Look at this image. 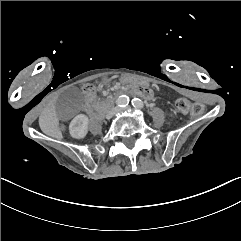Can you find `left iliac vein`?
<instances>
[{
	"label": "left iliac vein",
	"mask_w": 241,
	"mask_h": 241,
	"mask_svg": "<svg viewBox=\"0 0 241 241\" xmlns=\"http://www.w3.org/2000/svg\"><path fill=\"white\" fill-rule=\"evenodd\" d=\"M130 109H131V107L128 106V107L124 108L122 111H124V110H130Z\"/></svg>",
	"instance_id": "obj_1"
}]
</instances>
